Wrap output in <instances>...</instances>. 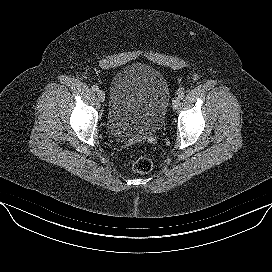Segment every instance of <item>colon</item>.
Masks as SVG:
<instances>
[{"mask_svg": "<svg viewBox=\"0 0 272 272\" xmlns=\"http://www.w3.org/2000/svg\"><path fill=\"white\" fill-rule=\"evenodd\" d=\"M132 168L137 173L145 174L152 170L153 164L150 158L147 156L143 154H136L132 161Z\"/></svg>", "mask_w": 272, "mask_h": 272, "instance_id": "obj_1", "label": "colon"}]
</instances>
